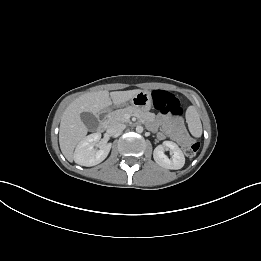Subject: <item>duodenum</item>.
<instances>
[{"label":"duodenum","instance_id":"duodenum-1","mask_svg":"<svg viewBox=\"0 0 261 261\" xmlns=\"http://www.w3.org/2000/svg\"><path fill=\"white\" fill-rule=\"evenodd\" d=\"M106 129V124L104 122H101L98 126V130L100 132L104 131Z\"/></svg>","mask_w":261,"mask_h":261}]
</instances>
